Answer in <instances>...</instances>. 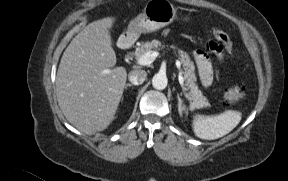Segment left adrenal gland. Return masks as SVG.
<instances>
[{
  "label": "left adrenal gland",
  "mask_w": 288,
  "mask_h": 181,
  "mask_svg": "<svg viewBox=\"0 0 288 181\" xmlns=\"http://www.w3.org/2000/svg\"><path fill=\"white\" fill-rule=\"evenodd\" d=\"M177 99H178V112L180 115H182V112L186 111V106L182 105L183 101L180 98L179 94L177 95Z\"/></svg>",
  "instance_id": "left-adrenal-gland-1"
}]
</instances>
